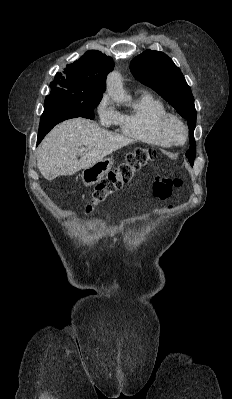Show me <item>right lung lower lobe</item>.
I'll use <instances>...</instances> for the list:
<instances>
[{
  "label": "right lung lower lobe",
  "instance_id": "obj_1",
  "mask_svg": "<svg viewBox=\"0 0 232 399\" xmlns=\"http://www.w3.org/2000/svg\"><path fill=\"white\" fill-rule=\"evenodd\" d=\"M76 117H84L88 119H94V115L84 114L80 112H74L62 108L60 106H45L44 112L40 119V125L38 130V142L39 144L44 136L58 123Z\"/></svg>",
  "mask_w": 232,
  "mask_h": 399
}]
</instances>
